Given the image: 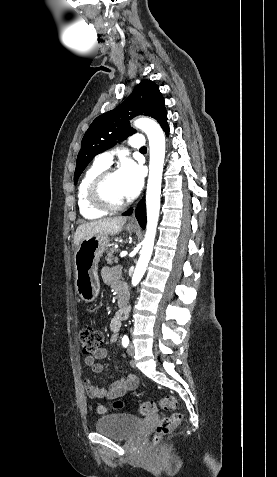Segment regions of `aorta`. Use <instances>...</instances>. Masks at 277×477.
<instances>
[{"label":"aorta","mask_w":277,"mask_h":477,"mask_svg":"<svg viewBox=\"0 0 277 477\" xmlns=\"http://www.w3.org/2000/svg\"><path fill=\"white\" fill-rule=\"evenodd\" d=\"M134 125L146 133L150 147L149 177L146 192L147 226L140 257L132 277V285L136 286L146 271L154 246L160 212L165 136L160 125L152 119L139 118L134 122Z\"/></svg>","instance_id":"obj_1"}]
</instances>
